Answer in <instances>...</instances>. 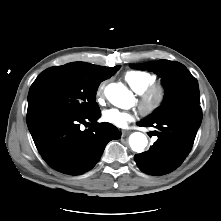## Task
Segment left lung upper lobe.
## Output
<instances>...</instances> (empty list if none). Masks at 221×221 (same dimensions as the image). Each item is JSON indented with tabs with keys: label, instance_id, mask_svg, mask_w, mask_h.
Listing matches in <instances>:
<instances>
[{
	"label": "left lung upper lobe",
	"instance_id": "1",
	"mask_svg": "<svg viewBox=\"0 0 221 221\" xmlns=\"http://www.w3.org/2000/svg\"><path fill=\"white\" fill-rule=\"evenodd\" d=\"M132 67L158 74L166 90L162 104L144 120L151 121L180 112H192L200 107L197 79L183 64L159 60L147 64H136Z\"/></svg>",
	"mask_w": 221,
	"mask_h": 221
}]
</instances>
